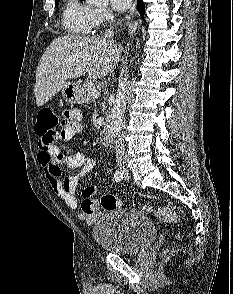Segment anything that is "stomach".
<instances>
[{"label": "stomach", "instance_id": "0dacf381", "mask_svg": "<svg viewBox=\"0 0 233 294\" xmlns=\"http://www.w3.org/2000/svg\"><path fill=\"white\" fill-rule=\"evenodd\" d=\"M62 97L69 104L82 103L81 86L79 83L67 82L62 88Z\"/></svg>", "mask_w": 233, "mask_h": 294}]
</instances>
